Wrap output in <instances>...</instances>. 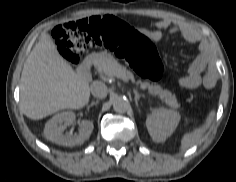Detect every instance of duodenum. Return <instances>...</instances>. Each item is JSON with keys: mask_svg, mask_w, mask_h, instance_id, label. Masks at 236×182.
Returning a JSON list of instances; mask_svg holds the SVG:
<instances>
[{"mask_svg": "<svg viewBox=\"0 0 236 182\" xmlns=\"http://www.w3.org/2000/svg\"><path fill=\"white\" fill-rule=\"evenodd\" d=\"M90 63L91 58L90 56L85 57L83 63L79 66L78 72L83 78H89L90 76Z\"/></svg>", "mask_w": 236, "mask_h": 182, "instance_id": "1", "label": "duodenum"}]
</instances>
